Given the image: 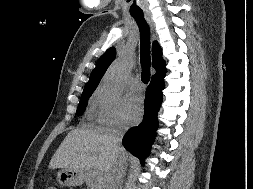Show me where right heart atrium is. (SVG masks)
Masks as SVG:
<instances>
[{
    "label": "right heart atrium",
    "mask_w": 253,
    "mask_h": 189,
    "mask_svg": "<svg viewBox=\"0 0 253 189\" xmlns=\"http://www.w3.org/2000/svg\"><path fill=\"white\" fill-rule=\"evenodd\" d=\"M93 104L97 113V121L105 129H121L124 127V103L123 100L104 90L99 89L93 98Z\"/></svg>",
    "instance_id": "d8ad5b80"
}]
</instances>
